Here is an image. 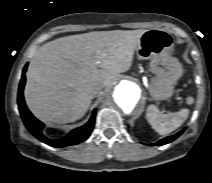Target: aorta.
<instances>
[{"instance_id": "aorta-1", "label": "aorta", "mask_w": 212, "mask_h": 183, "mask_svg": "<svg viewBox=\"0 0 212 183\" xmlns=\"http://www.w3.org/2000/svg\"><path fill=\"white\" fill-rule=\"evenodd\" d=\"M140 97L141 90L135 82L122 80L115 85L110 96V101L116 108L129 114L138 105Z\"/></svg>"}]
</instances>
